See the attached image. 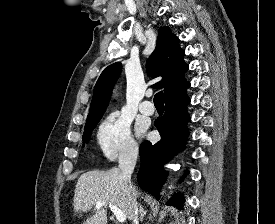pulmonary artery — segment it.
Here are the masks:
<instances>
[{"mask_svg": "<svg viewBox=\"0 0 275 224\" xmlns=\"http://www.w3.org/2000/svg\"><path fill=\"white\" fill-rule=\"evenodd\" d=\"M139 110L141 111V113L145 115H152L155 112L154 105L148 100H145L142 103H140Z\"/></svg>", "mask_w": 275, "mask_h": 224, "instance_id": "obj_1", "label": "pulmonary artery"}]
</instances>
